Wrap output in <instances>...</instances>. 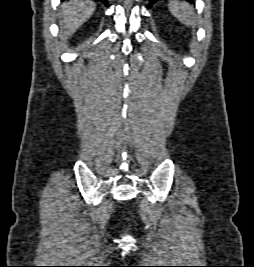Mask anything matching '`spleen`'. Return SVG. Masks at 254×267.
Wrapping results in <instances>:
<instances>
[{
  "instance_id": "3e777b00",
  "label": "spleen",
  "mask_w": 254,
  "mask_h": 267,
  "mask_svg": "<svg viewBox=\"0 0 254 267\" xmlns=\"http://www.w3.org/2000/svg\"><path fill=\"white\" fill-rule=\"evenodd\" d=\"M168 8L170 12L183 24L187 26L195 24L194 9L189 3L171 0L168 4Z\"/></svg>"
}]
</instances>
